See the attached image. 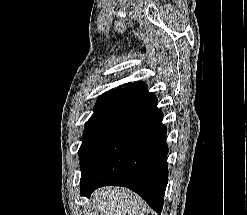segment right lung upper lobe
I'll return each mask as SVG.
<instances>
[{
	"label": "right lung upper lobe",
	"instance_id": "cb5924a9",
	"mask_svg": "<svg viewBox=\"0 0 247 215\" xmlns=\"http://www.w3.org/2000/svg\"><path fill=\"white\" fill-rule=\"evenodd\" d=\"M134 84H135V83H134ZM134 84L129 85L127 88L131 87V86L134 85ZM127 88H126V89H127ZM117 90H125V89H117Z\"/></svg>",
	"mask_w": 247,
	"mask_h": 215
}]
</instances>
